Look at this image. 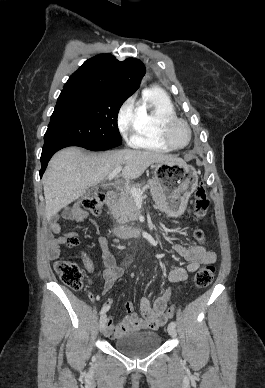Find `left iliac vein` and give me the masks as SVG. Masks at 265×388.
I'll list each match as a JSON object with an SVG mask.
<instances>
[{
    "mask_svg": "<svg viewBox=\"0 0 265 388\" xmlns=\"http://www.w3.org/2000/svg\"><path fill=\"white\" fill-rule=\"evenodd\" d=\"M167 331H168V334H169L171 337H173V338L176 337L177 332H176L175 327L169 325V326L167 327Z\"/></svg>",
    "mask_w": 265,
    "mask_h": 388,
    "instance_id": "1",
    "label": "left iliac vein"
}]
</instances>
